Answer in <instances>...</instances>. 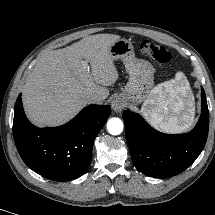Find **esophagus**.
I'll return each mask as SVG.
<instances>
[{
    "label": "esophagus",
    "mask_w": 215,
    "mask_h": 215,
    "mask_svg": "<svg viewBox=\"0 0 215 215\" xmlns=\"http://www.w3.org/2000/svg\"><path fill=\"white\" fill-rule=\"evenodd\" d=\"M124 107H125L124 99L120 96H115L111 102V108L115 112H121Z\"/></svg>",
    "instance_id": "1"
}]
</instances>
